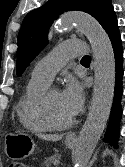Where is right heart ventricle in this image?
<instances>
[{
  "instance_id": "right-heart-ventricle-1",
  "label": "right heart ventricle",
  "mask_w": 125,
  "mask_h": 167,
  "mask_svg": "<svg viewBox=\"0 0 125 167\" xmlns=\"http://www.w3.org/2000/svg\"><path fill=\"white\" fill-rule=\"evenodd\" d=\"M48 86V83L31 77L25 94L17 107V117L20 124L35 134L46 133L50 130L42 121L39 112L41 98Z\"/></svg>"
}]
</instances>
